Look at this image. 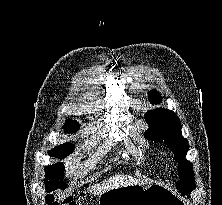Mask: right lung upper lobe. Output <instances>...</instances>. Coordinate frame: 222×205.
Segmentation results:
<instances>
[{
  "instance_id": "cb5924a9",
  "label": "right lung upper lobe",
  "mask_w": 222,
  "mask_h": 205,
  "mask_svg": "<svg viewBox=\"0 0 222 205\" xmlns=\"http://www.w3.org/2000/svg\"><path fill=\"white\" fill-rule=\"evenodd\" d=\"M66 125H78V122H76L74 120H67L64 126H66Z\"/></svg>"
}]
</instances>
